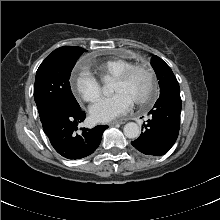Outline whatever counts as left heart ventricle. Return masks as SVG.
<instances>
[{"mask_svg":"<svg viewBox=\"0 0 220 220\" xmlns=\"http://www.w3.org/2000/svg\"><path fill=\"white\" fill-rule=\"evenodd\" d=\"M148 89V78L147 75L138 71L126 82L116 81L114 84V91L116 93H126L128 94L133 101L139 100L142 98Z\"/></svg>","mask_w":220,"mask_h":220,"instance_id":"obj_1","label":"left heart ventricle"}]
</instances>
